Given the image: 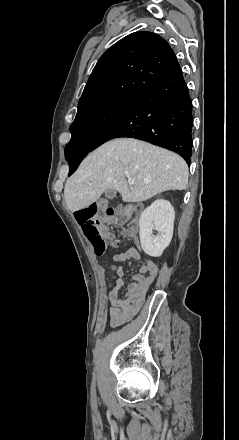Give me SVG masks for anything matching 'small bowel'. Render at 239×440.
<instances>
[{"label":"small bowel","mask_w":239,"mask_h":440,"mask_svg":"<svg viewBox=\"0 0 239 440\" xmlns=\"http://www.w3.org/2000/svg\"><path fill=\"white\" fill-rule=\"evenodd\" d=\"M141 260L142 255L137 245L130 246L126 251L117 253L114 256L116 263H122L129 259ZM158 272L157 265L149 258L140 267V273L132 276V282L128 284L124 295L120 291L124 285L123 269H116V277L113 280L109 292L111 308L109 309L110 324L113 327L128 322L142 306L149 287L154 282Z\"/></svg>","instance_id":"obj_1"}]
</instances>
